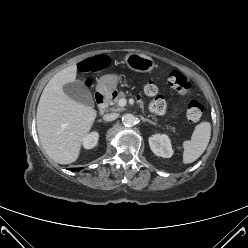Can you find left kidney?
<instances>
[{
	"label": "left kidney",
	"mask_w": 248,
	"mask_h": 248,
	"mask_svg": "<svg viewBox=\"0 0 248 248\" xmlns=\"http://www.w3.org/2000/svg\"><path fill=\"white\" fill-rule=\"evenodd\" d=\"M149 145L152 152L160 157L170 158L173 155V149L170 139L165 134H155L149 137Z\"/></svg>",
	"instance_id": "1"
}]
</instances>
